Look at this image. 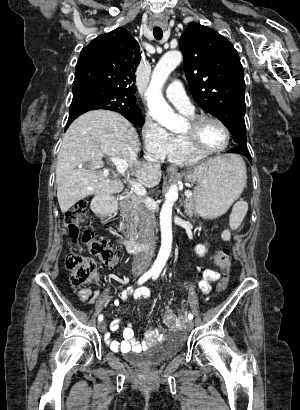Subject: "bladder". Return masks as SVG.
I'll return each mask as SVG.
<instances>
[{"label": "bladder", "instance_id": "obj_1", "mask_svg": "<svg viewBox=\"0 0 300 410\" xmlns=\"http://www.w3.org/2000/svg\"><path fill=\"white\" fill-rule=\"evenodd\" d=\"M180 352V346L174 342L154 343L140 353H127L125 358L139 367H152L171 359Z\"/></svg>", "mask_w": 300, "mask_h": 410}]
</instances>
